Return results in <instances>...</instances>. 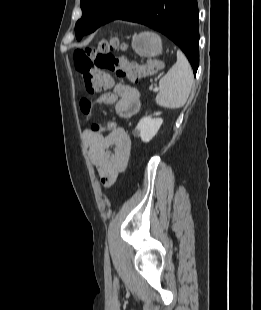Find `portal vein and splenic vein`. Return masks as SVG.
<instances>
[{
  "label": "portal vein and splenic vein",
  "mask_w": 261,
  "mask_h": 310,
  "mask_svg": "<svg viewBox=\"0 0 261 310\" xmlns=\"http://www.w3.org/2000/svg\"><path fill=\"white\" fill-rule=\"evenodd\" d=\"M150 90H153V92H157L158 91L157 88H150Z\"/></svg>",
  "instance_id": "obj_1"
}]
</instances>
